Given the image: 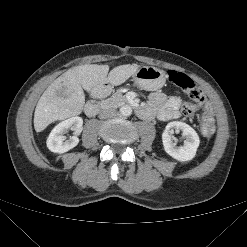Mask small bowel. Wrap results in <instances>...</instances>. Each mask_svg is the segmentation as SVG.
<instances>
[{
    "label": "small bowel",
    "mask_w": 247,
    "mask_h": 247,
    "mask_svg": "<svg viewBox=\"0 0 247 247\" xmlns=\"http://www.w3.org/2000/svg\"><path fill=\"white\" fill-rule=\"evenodd\" d=\"M181 99L176 96H167L162 92H153L149 96V102L146 109V119L157 115L161 120L176 119L180 116L179 107Z\"/></svg>",
    "instance_id": "small-bowel-1"
}]
</instances>
